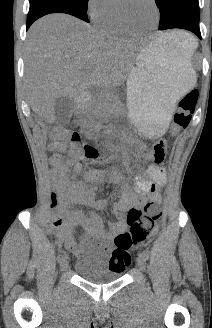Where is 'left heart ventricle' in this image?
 Here are the masks:
<instances>
[{
	"mask_svg": "<svg viewBox=\"0 0 212 328\" xmlns=\"http://www.w3.org/2000/svg\"><path fill=\"white\" fill-rule=\"evenodd\" d=\"M127 21L136 28H147L156 21V12L150 0H120Z\"/></svg>",
	"mask_w": 212,
	"mask_h": 328,
	"instance_id": "obj_1",
	"label": "left heart ventricle"
}]
</instances>
